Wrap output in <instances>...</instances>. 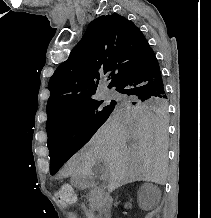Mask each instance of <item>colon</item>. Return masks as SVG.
<instances>
[{
	"instance_id": "5ec220e1",
	"label": "colon",
	"mask_w": 211,
	"mask_h": 218,
	"mask_svg": "<svg viewBox=\"0 0 211 218\" xmlns=\"http://www.w3.org/2000/svg\"><path fill=\"white\" fill-rule=\"evenodd\" d=\"M57 199L65 204H71L75 201L76 196L73 188L69 184H63L57 190Z\"/></svg>"
}]
</instances>
